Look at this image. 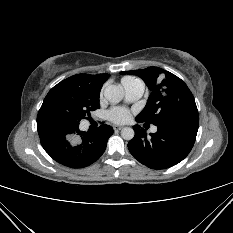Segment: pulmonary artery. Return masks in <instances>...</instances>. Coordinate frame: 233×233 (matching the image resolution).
Masks as SVG:
<instances>
[{
    "mask_svg": "<svg viewBox=\"0 0 233 233\" xmlns=\"http://www.w3.org/2000/svg\"><path fill=\"white\" fill-rule=\"evenodd\" d=\"M124 87V91H125V96H126V100L127 101H135L137 99H139L143 93H144V89L145 86L143 84V82H135L129 85H125ZM151 131L153 133H155L157 131V127L153 126L151 128Z\"/></svg>",
    "mask_w": 233,
    "mask_h": 233,
    "instance_id": "1",
    "label": "pulmonary artery"
}]
</instances>
